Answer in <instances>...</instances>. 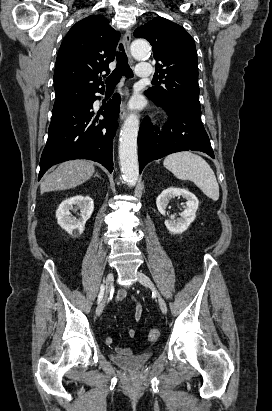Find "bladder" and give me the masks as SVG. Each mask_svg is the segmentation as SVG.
<instances>
[{
    "mask_svg": "<svg viewBox=\"0 0 272 411\" xmlns=\"http://www.w3.org/2000/svg\"><path fill=\"white\" fill-rule=\"evenodd\" d=\"M153 354L151 352H144L131 356H121L113 354L111 356L112 362H114L120 368L129 371L136 372L141 370L150 361Z\"/></svg>",
    "mask_w": 272,
    "mask_h": 411,
    "instance_id": "1",
    "label": "bladder"
}]
</instances>
